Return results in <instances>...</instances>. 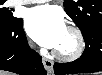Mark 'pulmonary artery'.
<instances>
[{
	"label": "pulmonary artery",
	"instance_id": "obj_1",
	"mask_svg": "<svg viewBox=\"0 0 102 75\" xmlns=\"http://www.w3.org/2000/svg\"><path fill=\"white\" fill-rule=\"evenodd\" d=\"M19 3L22 2H45L44 0H28V1H18Z\"/></svg>",
	"mask_w": 102,
	"mask_h": 75
}]
</instances>
